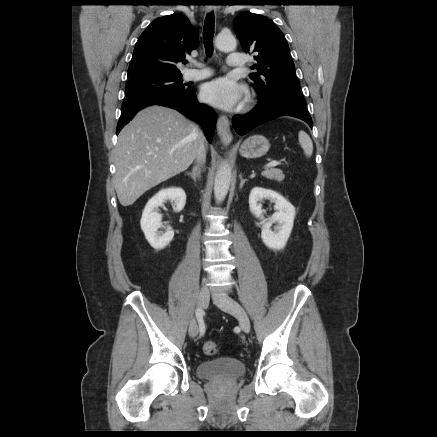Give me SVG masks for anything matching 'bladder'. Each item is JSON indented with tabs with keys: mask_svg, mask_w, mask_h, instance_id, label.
<instances>
[{
	"mask_svg": "<svg viewBox=\"0 0 437 437\" xmlns=\"http://www.w3.org/2000/svg\"><path fill=\"white\" fill-rule=\"evenodd\" d=\"M245 364L233 357H222L214 360L202 361L197 365L196 373L203 379H230L245 374Z\"/></svg>",
	"mask_w": 437,
	"mask_h": 437,
	"instance_id": "obj_1",
	"label": "bladder"
}]
</instances>
